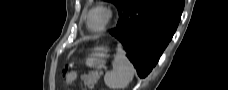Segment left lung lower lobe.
<instances>
[{"label": "left lung lower lobe", "mask_w": 228, "mask_h": 90, "mask_svg": "<svg viewBox=\"0 0 228 90\" xmlns=\"http://www.w3.org/2000/svg\"><path fill=\"white\" fill-rule=\"evenodd\" d=\"M184 0H130L110 33L125 47L141 78L156 65L171 40Z\"/></svg>", "instance_id": "obj_1"}]
</instances>
